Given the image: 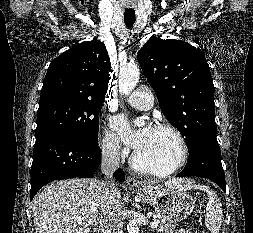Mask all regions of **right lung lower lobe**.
I'll use <instances>...</instances> for the list:
<instances>
[{"label": "right lung lower lobe", "mask_w": 253, "mask_h": 233, "mask_svg": "<svg viewBox=\"0 0 253 233\" xmlns=\"http://www.w3.org/2000/svg\"><path fill=\"white\" fill-rule=\"evenodd\" d=\"M100 161L98 144H86L63 135L36 138L31 167L30 200L41 187L54 180L93 177ZM114 176L120 182L125 179L121 169Z\"/></svg>", "instance_id": "right-lung-lower-lobe-1"}]
</instances>
